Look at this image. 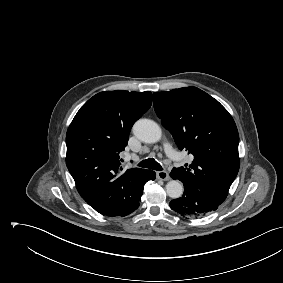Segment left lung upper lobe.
<instances>
[{"label": "left lung upper lobe", "instance_id": "1", "mask_svg": "<svg viewBox=\"0 0 283 283\" xmlns=\"http://www.w3.org/2000/svg\"><path fill=\"white\" fill-rule=\"evenodd\" d=\"M154 109L180 150L194 157L172 174L222 204L237 176L239 135L229 112L196 87L154 93Z\"/></svg>", "mask_w": 283, "mask_h": 283}]
</instances>
